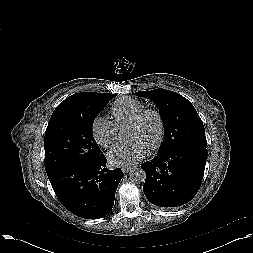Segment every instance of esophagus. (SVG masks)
Instances as JSON below:
<instances>
[{"label":"esophagus","instance_id":"1","mask_svg":"<svg viewBox=\"0 0 253 253\" xmlns=\"http://www.w3.org/2000/svg\"><path fill=\"white\" fill-rule=\"evenodd\" d=\"M132 169H133V168H132L131 166L122 167V171H123L124 173L130 172Z\"/></svg>","mask_w":253,"mask_h":253}]
</instances>
